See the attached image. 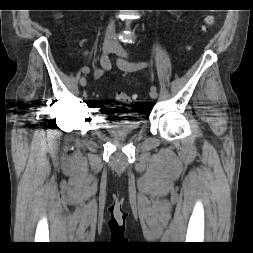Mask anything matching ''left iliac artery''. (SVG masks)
I'll use <instances>...</instances> for the list:
<instances>
[{
    "label": "left iliac artery",
    "mask_w": 253,
    "mask_h": 253,
    "mask_svg": "<svg viewBox=\"0 0 253 253\" xmlns=\"http://www.w3.org/2000/svg\"><path fill=\"white\" fill-rule=\"evenodd\" d=\"M118 64L122 69L129 70V71L140 70L147 66L146 62L130 63L125 60H119ZM151 89H156V86H152Z\"/></svg>",
    "instance_id": "left-iliac-artery-1"
}]
</instances>
